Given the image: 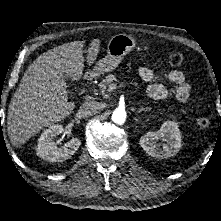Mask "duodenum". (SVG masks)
<instances>
[{"label": "duodenum", "mask_w": 221, "mask_h": 221, "mask_svg": "<svg viewBox=\"0 0 221 221\" xmlns=\"http://www.w3.org/2000/svg\"><path fill=\"white\" fill-rule=\"evenodd\" d=\"M90 79V75H85L84 77H83V80L84 81H88Z\"/></svg>", "instance_id": "1"}]
</instances>
